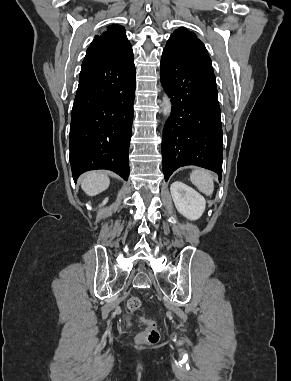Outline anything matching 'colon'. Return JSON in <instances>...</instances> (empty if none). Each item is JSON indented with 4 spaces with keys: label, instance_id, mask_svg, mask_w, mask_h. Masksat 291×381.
Here are the masks:
<instances>
[{
    "label": "colon",
    "instance_id": "obj_1",
    "mask_svg": "<svg viewBox=\"0 0 291 381\" xmlns=\"http://www.w3.org/2000/svg\"><path fill=\"white\" fill-rule=\"evenodd\" d=\"M141 301L139 297L132 296L127 301V307L131 312L136 311L140 307ZM144 329L138 334V340L144 344H155L159 340V330L157 324L152 319H141Z\"/></svg>",
    "mask_w": 291,
    "mask_h": 381
}]
</instances>
